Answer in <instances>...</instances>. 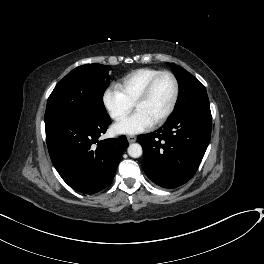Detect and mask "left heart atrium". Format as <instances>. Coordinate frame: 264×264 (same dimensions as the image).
I'll return each mask as SVG.
<instances>
[{
    "mask_svg": "<svg viewBox=\"0 0 264 264\" xmlns=\"http://www.w3.org/2000/svg\"><path fill=\"white\" fill-rule=\"evenodd\" d=\"M153 122L142 112L136 111L115 125L119 134H137L148 130Z\"/></svg>",
    "mask_w": 264,
    "mask_h": 264,
    "instance_id": "1",
    "label": "left heart atrium"
}]
</instances>
